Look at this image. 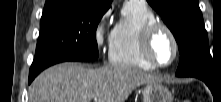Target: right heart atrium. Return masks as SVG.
Listing matches in <instances>:
<instances>
[{"mask_svg":"<svg viewBox=\"0 0 221 102\" xmlns=\"http://www.w3.org/2000/svg\"><path fill=\"white\" fill-rule=\"evenodd\" d=\"M110 11L104 12L98 19L94 28V42L99 50H104L110 45L112 30L109 28Z\"/></svg>","mask_w":221,"mask_h":102,"instance_id":"1","label":"right heart atrium"}]
</instances>
